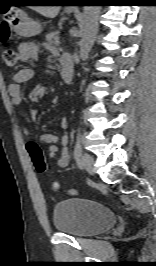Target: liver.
I'll list each match as a JSON object with an SVG mask.
<instances>
[{
  "label": "liver",
  "instance_id": "obj_1",
  "mask_svg": "<svg viewBox=\"0 0 156 266\" xmlns=\"http://www.w3.org/2000/svg\"><path fill=\"white\" fill-rule=\"evenodd\" d=\"M32 10L47 18H54L60 10V6H33Z\"/></svg>",
  "mask_w": 156,
  "mask_h": 266
}]
</instances>
